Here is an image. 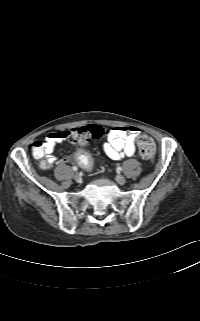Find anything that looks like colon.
I'll return each instance as SVG.
<instances>
[{
  "mask_svg": "<svg viewBox=\"0 0 200 321\" xmlns=\"http://www.w3.org/2000/svg\"><path fill=\"white\" fill-rule=\"evenodd\" d=\"M105 133V130L98 125H88L83 127L74 128L67 131L65 137L72 143L85 145L89 142L99 140ZM138 151L140 156L145 160H152L155 156L156 147L155 143L147 135H141L137 142ZM34 154L42 158L43 157V144L36 142L33 147ZM76 162L80 164L83 168L89 169L92 167L93 160L87 151L81 150L76 153ZM41 167L47 169L51 167V164L46 160H41Z\"/></svg>",
  "mask_w": 200,
  "mask_h": 321,
  "instance_id": "obj_1",
  "label": "colon"
}]
</instances>
